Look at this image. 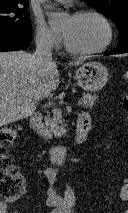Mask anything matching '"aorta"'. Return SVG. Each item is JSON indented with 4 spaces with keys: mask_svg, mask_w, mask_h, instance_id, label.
<instances>
[{
    "mask_svg": "<svg viewBox=\"0 0 128 213\" xmlns=\"http://www.w3.org/2000/svg\"><path fill=\"white\" fill-rule=\"evenodd\" d=\"M45 1V0H42ZM51 19L52 23H58L62 20L63 18V14L62 13H58V12H48L47 13Z\"/></svg>",
    "mask_w": 128,
    "mask_h": 213,
    "instance_id": "aorta-1",
    "label": "aorta"
}]
</instances>
